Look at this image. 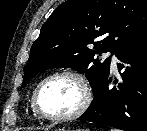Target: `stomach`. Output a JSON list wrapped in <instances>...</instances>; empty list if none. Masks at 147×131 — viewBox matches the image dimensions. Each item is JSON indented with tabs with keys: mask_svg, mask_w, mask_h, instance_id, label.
I'll return each instance as SVG.
<instances>
[{
	"mask_svg": "<svg viewBox=\"0 0 147 131\" xmlns=\"http://www.w3.org/2000/svg\"><path fill=\"white\" fill-rule=\"evenodd\" d=\"M57 131V130H56ZM58 131H70V130H67L65 128H62V129H59ZM76 131H88V130H76Z\"/></svg>",
	"mask_w": 147,
	"mask_h": 131,
	"instance_id": "stomach-1",
	"label": "stomach"
}]
</instances>
